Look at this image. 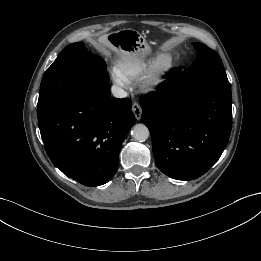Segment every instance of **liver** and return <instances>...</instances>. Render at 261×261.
<instances>
[{"label": "liver", "mask_w": 261, "mask_h": 261, "mask_svg": "<svg viewBox=\"0 0 261 261\" xmlns=\"http://www.w3.org/2000/svg\"><path fill=\"white\" fill-rule=\"evenodd\" d=\"M97 46L100 49H109L113 50L117 53H119L122 56H126L124 53H122L120 50L116 49L114 46L111 45V43L107 39V35H102L97 39Z\"/></svg>", "instance_id": "1"}]
</instances>
